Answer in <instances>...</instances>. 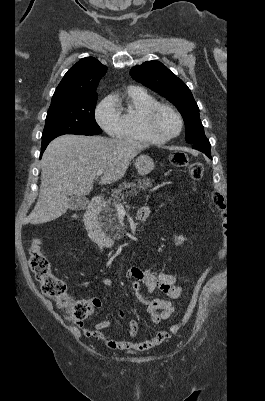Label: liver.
Listing matches in <instances>:
<instances>
[{
  "label": "liver",
  "mask_w": 265,
  "mask_h": 401,
  "mask_svg": "<svg viewBox=\"0 0 265 401\" xmlns=\"http://www.w3.org/2000/svg\"><path fill=\"white\" fill-rule=\"evenodd\" d=\"M147 142L63 134L48 144L42 156L41 184L37 203L25 223L41 225L66 213L71 194L84 196L93 188L97 170L101 184L124 176L130 160L147 148Z\"/></svg>",
  "instance_id": "liver-1"
}]
</instances>
